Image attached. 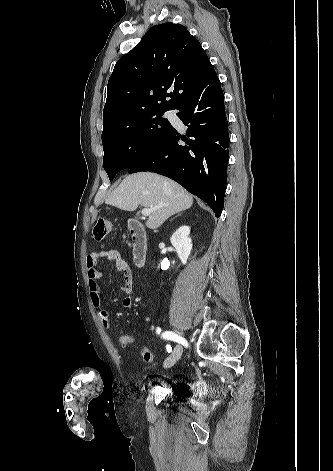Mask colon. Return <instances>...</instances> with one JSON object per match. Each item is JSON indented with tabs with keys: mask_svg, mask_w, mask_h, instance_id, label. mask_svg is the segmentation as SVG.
<instances>
[{
	"mask_svg": "<svg viewBox=\"0 0 333 471\" xmlns=\"http://www.w3.org/2000/svg\"><path fill=\"white\" fill-rule=\"evenodd\" d=\"M112 230V222L107 219H99L93 227V236L96 240L105 239ZM118 343L122 347H137L140 351L142 359L146 362L153 360V353L144 345H142L135 337L128 334H120Z\"/></svg>",
	"mask_w": 333,
	"mask_h": 471,
	"instance_id": "5ec220e1",
	"label": "colon"
}]
</instances>
